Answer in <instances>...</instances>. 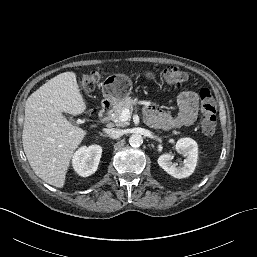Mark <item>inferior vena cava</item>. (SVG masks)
I'll list each match as a JSON object with an SVG mask.
<instances>
[{"label": "inferior vena cava", "instance_id": "obj_1", "mask_svg": "<svg viewBox=\"0 0 257 257\" xmlns=\"http://www.w3.org/2000/svg\"><path fill=\"white\" fill-rule=\"evenodd\" d=\"M104 133L107 134L108 137L117 139L121 136V132L119 129H103Z\"/></svg>", "mask_w": 257, "mask_h": 257}]
</instances>
